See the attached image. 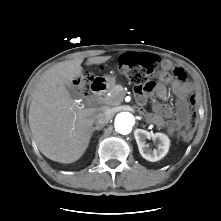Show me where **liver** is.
<instances>
[{
  "label": "liver",
  "mask_w": 221,
  "mask_h": 221,
  "mask_svg": "<svg viewBox=\"0 0 221 221\" xmlns=\"http://www.w3.org/2000/svg\"><path fill=\"white\" fill-rule=\"evenodd\" d=\"M110 58L91 57L86 65L101 64ZM82 62H59L43 73L29 108V126L40 152L60 163L75 162L84 154L92 136L93 116L99 112L97 108L80 106L66 89L82 76Z\"/></svg>",
  "instance_id": "1"
}]
</instances>
